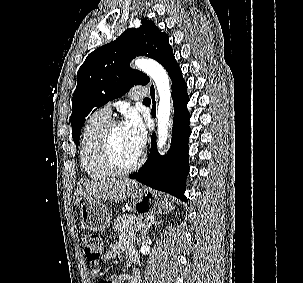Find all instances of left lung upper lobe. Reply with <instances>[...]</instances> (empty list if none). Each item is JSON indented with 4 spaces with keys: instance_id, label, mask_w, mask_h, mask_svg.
<instances>
[{
    "instance_id": "left-lung-upper-lobe-1",
    "label": "left lung upper lobe",
    "mask_w": 303,
    "mask_h": 283,
    "mask_svg": "<svg viewBox=\"0 0 303 283\" xmlns=\"http://www.w3.org/2000/svg\"><path fill=\"white\" fill-rule=\"evenodd\" d=\"M141 23L139 28L127 29L115 41L90 53L80 66L71 114L72 137L76 146L86 118L96 108L121 97L134 85L149 83L146 74L130 68L133 58H153L165 69L174 59L168 35L147 18H143Z\"/></svg>"
}]
</instances>
